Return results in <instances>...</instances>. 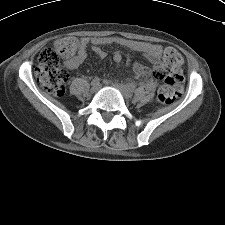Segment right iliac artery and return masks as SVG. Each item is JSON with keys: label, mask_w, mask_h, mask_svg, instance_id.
Wrapping results in <instances>:
<instances>
[{"label": "right iliac artery", "mask_w": 225, "mask_h": 225, "mask_svg": "<svg viewBox=\"0 0 225 225\" xmlns=\"http://www.w3.org/2000/svg\"><path fill=\"white\" fill-rule=\"evenodd\" d=\"M100 83V78L99 77H95L93 80H92V82H91V84H99Z\"/></svg>", "instance_id": "obj_1"}]
</instances>
